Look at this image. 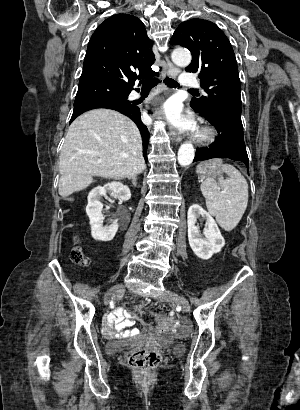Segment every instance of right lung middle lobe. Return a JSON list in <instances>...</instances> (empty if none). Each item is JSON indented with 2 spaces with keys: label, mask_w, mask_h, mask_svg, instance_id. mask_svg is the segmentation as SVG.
I'll list each match as a JSON object with an SVG mask.
<instances>
[{
  "label": "right lung middle lobe",
  "mask_w": 300,
  "mask_h": 410,
  "mask_svg": "<svg viewBox=\"0 0 300 410\" xmlns=\"http://www.w3.org/2000/svg\"><path fill=\"white\" fill-rule=\"evenodd\" d=\"M130 91L101 82H79L74 107L93 101L106 100L114 103L129 104Z\"/></svg>",
  "instance_id": "right-lung-middle-lobe-1"
}]
</instances>
